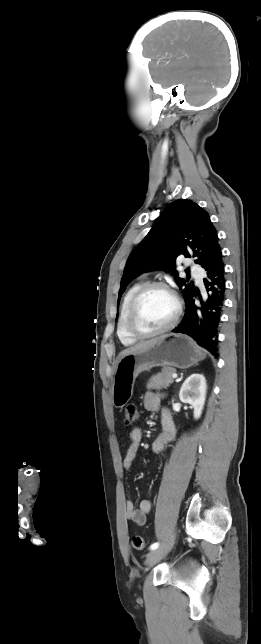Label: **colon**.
Masks as SVG:
<instances>
[{"label": "colon", "mask_w": 261, "mask_h": 644, "mask_svg": "<svg viewBox=\"0 0 261 644\" xmlns=\"http://www.w3.org/2000/svg\"><path fill=\"white\" fill-rule=\"evenodd\" d=\"M139 419V410L135 404H129L126 407L124 422L127 426H134ZM132 545L137 550H143L146 546V540L140 535L132 537Z\"/></svg>", "instance_id": "1"}]
</instances>
